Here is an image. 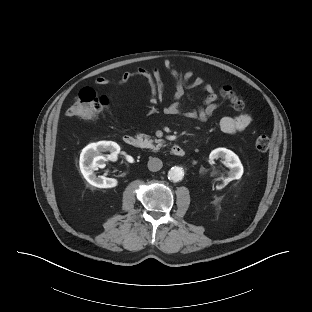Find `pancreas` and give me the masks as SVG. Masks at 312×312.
Listing matches in <instances>:
<instances>
[{"label": "pancreas", "instance_id": "cf45deb5", "mask_svg": "<svg viewBox=\"0 0 312 312\" xmlns=\"http://www.w3.org/2000/svg\"><path fill=\"white\" fill-rule=\"evenodd\" d=\"M138 139L141 143V146L144 148H150L153 151H158L161 147L165 146L164 145V140L162 139H155L154 141L150 139L148 135L145 134H139ZM155 142L156 146H154L152 143Z\"/></svg>", "mask_w": 312, "mask_h": 312}]
</instances>
